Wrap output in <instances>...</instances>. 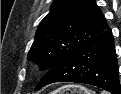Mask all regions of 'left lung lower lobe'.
Segmentation results:
<instances>
[{"instance_id":"0a47b994","label":"left lung lower lobe","mask_w":121,"mask_h":94,"mask_svg":"<svg viewBox=\"0 0 121 94\" xmlns=\"http://www.w3.org/2000/svg\"><path fill=\"white\" fill-rule=\"evenodd\" d=\"M55 82L90 84L111 94H121L111 29L108 27L58 62L40 80L35 90Z\"/></svg>"}]
</instances>
